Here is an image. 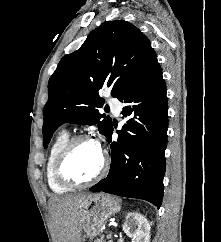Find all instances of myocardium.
I'll use <instances>...</instances> for the list:
<instances>
[{
  "label": "myocardium",
  "mask_w": 221,
  "mask_h": 242,
  "mask_svg": "<svg viewBox=\"0 0 221 242\" xmlns=\"http://www.w3.org/2000/svg\"><path fill=\"white\" fill-rule=\"evenodd\" d=\"M82 141H94V140L90 136L84 135V134L73 136L64 145V147L62 148V150L60 151V153L56 159V162L54 165V174H55V177L58 180V182L64 186H68L71 188H78V187H84V186L91 185V184L99 181L106 174V172L108 170V166H109L108 155H107L106 151L100 147L101 154H102L101 166L93 177H91L87 180H77V179H74V178L66 175L65 165L68 161V158H69L72 150L74 149V147L79 142H82Z\"/></svg>",
  "instance_id": "obj_1"
}]
</instances>
